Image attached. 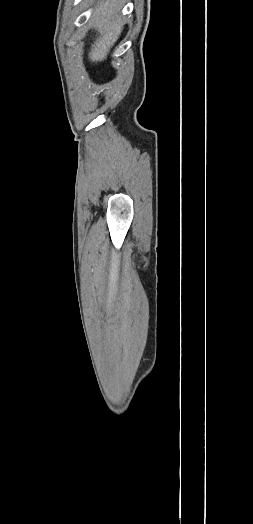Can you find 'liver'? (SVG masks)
Returning <instances> with one entry per match:
<instances>
[{"label":"liver","mask_w":253,"mask_h":524,"mask_svg":"<svg viewBox=\"0 0 253 524\" xmlns=\"http://www.w3.org/2000/svg\"><path fill=\"white\" fill-rule=\"evenodd\" d=\"M123 2V0H106L96 7L92 21L94 22L93 27L100 37L89 53L92 62L106 59L111 47L118 40L123 29L122 19L119 15Z\"/></svg>","instance_id":"1"}]
</instances>
